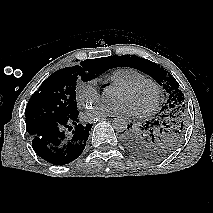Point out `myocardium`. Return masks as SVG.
<instances>
[{
    "label": "myocardium",
    "instance_id": "1",
    "mask_svg": "<svg viewBox=\"0 0 213 213\" xmlns=\"http://www.w3.org/2000/svg\"><path fill=\"white\" fill-rule=\"evenodd\" d=\"M144 84H148L154 89V101L147 109L134 112V115L136 117H146V116L154 113L158 109L160 100H161L160 85L155 80L144 77V78L132 81L130 83H126V84L118 87L119 89H123V90H133Z\"/></svg>",
    "mask_w": 213,
    "mask_h": 213
}]
</instances>
